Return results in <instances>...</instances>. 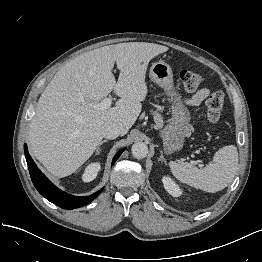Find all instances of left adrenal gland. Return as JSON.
I'll return each instance as SVG.
<instances>
[{
	"instance_id": "left-adrenal-gland-1",
	"label": "left adrenal gland",
	"mask_w": 262,
	"mask_h": 262,
	"mask_svg": "<svg viewBox=\"0 0 262 262\" xmlns=\"http://www.w3.org/2000/svg\"><path fill=\"white\" fill-rule=\"evenodd\" d=\"M158 160H159V161H163V162L167 165V161H166V159L164 158L162 151H161L160 158H159Z\"/></svg>"
}]
</instances>
